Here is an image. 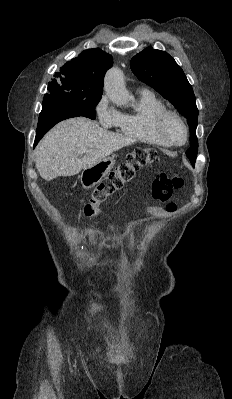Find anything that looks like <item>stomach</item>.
Here are the masks:
<instances>
[{"label":"stomach","instance_id":"stomach-1","mask_svg":"<svg viewBox=\"0 0 232 399\" xmlns=\"http://www.w3.org/2000/svg\"><path fill=\"white\" fill-rule=\"evenodd\" d=\"M115 160L114 158H104L92 168H88V170H83L81 174V184L83 188H94L97 186L99 182H101L102 178H105L109 172H111L112 168H114Z\"/></svg>","mask_w":232,"mask_h":399}]
</instances>
